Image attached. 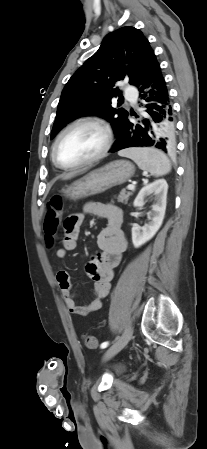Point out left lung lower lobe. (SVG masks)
Instances as JSON below:
<instances>
[{"mask_svg":"<svg viewBox=\"0 0 207 449\" xmlns=\"http://www.w3.org/2000/svg\"><path fill=\"white\" fill-rule=\"evenodd\" d=\"M145 105L148 118L142 125L131 123L128 118L124 122L111 152H117L128 147H156L165 152L175 149L174 111L170 95L162 75L159 63L156 61L139 89Z\"/></svg>","mask_w":207,"mask_h":449,"instance_id":"1","label":"left lung lower lobe"}]
</instances>
